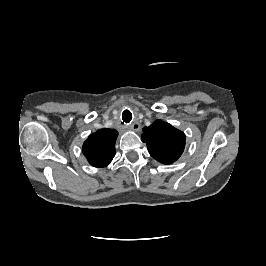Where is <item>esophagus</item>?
<instances>
[{"label":"esophagus","instance_id":"34e87169","mask_svg":"<svg viewBox=\"0 0 266 266\" xmlns=\"http://www.w3.org/2000/svg\"><path fill=\"white\" fill-rule=\"evenodd\" d=\"M141 128V125L138 122H134L130 125V129L134 131H139Z\"/></svg>","mask_w":266,"mask_h":266}]
</instances>
